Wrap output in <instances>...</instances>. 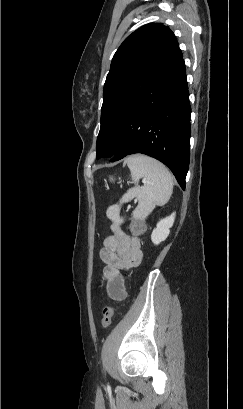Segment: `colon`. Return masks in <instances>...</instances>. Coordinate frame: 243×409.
I'll use <instances>...</instances> for the list:
<instances>
[{
	"mask_svg": "<svg viewBox=\"0 0 243 409\" xmlns=\"http://www.w3.org/2000/svg\"><path fill=\"white\" fill-rule=\"evenodd\" d=\"M144 229V224L143 223H139L136 226V230L135 232L137 233H141ZM113 315H114V310L111 306H107L104 308L103 310V317H102V327L103 328H108L111 323H112V319H113Z\"/></svg>",
	"mask_w": 243,
	"mask_h": 409,
	"instance_id": "colon-1",
	"label": "colon"
}]
</instances>
